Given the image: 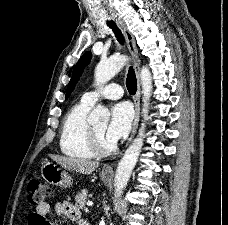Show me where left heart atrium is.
<instances>
[{
	"label": "left heart atrium",
	"mask_w": 228,
	"mask_h": 225,
	"mask_svg": "<svg viewBox=\"0 0 228 225\" xmlns=\"http://www.w3.org/2000/svg\"><path fill=\"white\" fill-rule=\"evenodd\" d=\"M133 111L127 102H120L111 109L110 122L106 130V137L116 141L128 135L132 126Z\"/></svg>",
	"instance_id": "1"
}]
</instances>
